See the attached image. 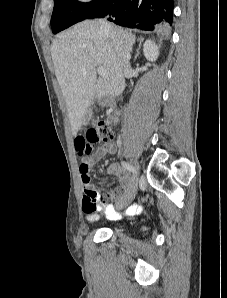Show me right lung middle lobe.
Segmentation results:
<instances>
[{"label": "right lung middle lobe", "mask_w": 227, "mask_h": 298, "mask_svg": "<svg viewBox=\"0 0 227 298\" xmlns=\"http://www.w3.org/2000/svg\"><path fill=\"white\" fill-rule=\"evenodd\" d=\"M106 0H93L82 3L78 0H54V9L51 18L53 33H58L69 26L86 19L98 9Z\"/></svg>", "instance_id": "obj_1"}]
</instances>
